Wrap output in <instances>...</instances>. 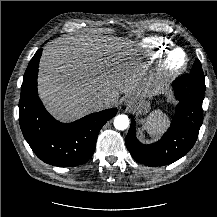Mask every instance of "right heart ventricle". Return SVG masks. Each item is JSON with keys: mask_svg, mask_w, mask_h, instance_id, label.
Here are the masks:
<instances>
[{"mask_svg": "<svg viewBox=\"0 0 217 217\" xmlns=\"http://www.w3.org/2000/svg\"><path fill=\"white\" fill-rule=\"evenodd\" d=\"M145 45L146 49L156 57L161 56L168 49V41L162 37H151Z\"/></svg>", "mask_w": 217, "mask_h": 217, "instance_id": "right-heart-ventricle-1", "label": "right heart ventricle"}]
</instances>
